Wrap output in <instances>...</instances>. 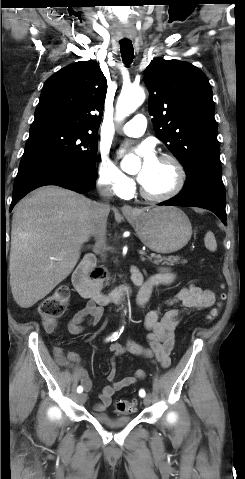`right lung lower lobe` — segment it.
Returning a JSON list of instances; mask_svg holds the SVG:
<instances>
[{
    "label": "right lung lower lobe",
    "instance_id": "right-lung-lower-lobe-1",
    "mask_svg": "<svg viewBox=\"0 0 245 479\" xmlns=\"http://www.w3.org/2000/svg\"><path fill=\"white\" fill-rule=\"evenodd\" d=\"M96 179L94 170L61 160H43L20 166L14 182L10 211L26 194L41 186L57 185L77 193H86L95 187Z\"/></svg>",
    "mask_w": 245,
    "mask_h": 479
}]
</instances>
